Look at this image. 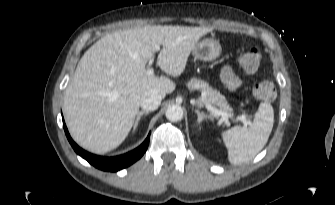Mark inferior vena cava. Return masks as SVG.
I'll list each match as a JSON object with an SVG mask.
<instances>
[{
	"mask_svg": "<svg viewBox=\"0 0 335 205\" xmlns=\"http://www.w3.org/2000/svg\"><path fill=\"white\" fill-rule=\"evenodd\" d=\"M162 100L160 93L154 89L145 91L140 98V106L146 111L156 110Z\"/></svg>",
	"mask_w": 335,
	"mask_h": 205,
	"instance_id": "1",
	"label": "inferior vena cava"
}]
</instances>
